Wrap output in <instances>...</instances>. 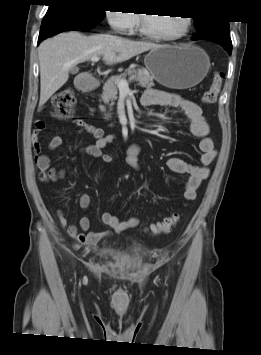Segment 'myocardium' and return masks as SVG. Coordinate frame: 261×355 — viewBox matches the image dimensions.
Returning <instances> with one entry per match:
<instances>
[{"label": "myocardium", "mask_w": 261, "mask_h": 355, "mask_svg": "<svg viewBox=\"0 0 261 355\" xmlns=\"http://www.w3.org/2000/svg\"><path fill=\"white\" fill-rule=\"evenodd\" d=\"M183 22H184V27L181 32H179L176 35H163V34H158L153 31H151L146 24V17L145 15H140V32L151 39L154 40H159V41H177L182 39L184 36H186L190 30L191 27V19L188 16H182Z\"/></svg>", "instance_id": "myocardium-1"}]
</instances>
